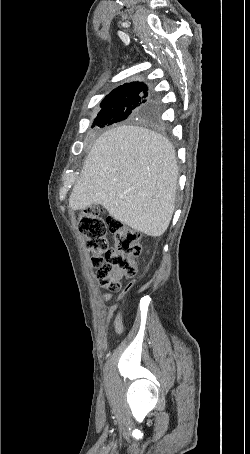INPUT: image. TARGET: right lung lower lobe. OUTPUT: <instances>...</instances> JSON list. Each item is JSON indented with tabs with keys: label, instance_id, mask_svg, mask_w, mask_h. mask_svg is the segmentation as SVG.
I'll return each instance as SVG.
<instances>
[{
	"label": "right lung lower lobe",
	"instance_id": "98d812e1",
	"mask_svg": "<svg viewBox=\"0 0 250 454\" xmlns=\"http://www.w3.org/2000/svg\"><path fill=\"white\" fill-rule=\"evenodd\" d=\"M153 108L157 111L158 116L160 115V107L158 101L153 104Z\"/></svg>",
	"mask_w": 250,
	"mask_h": 454
}]
</instances>
